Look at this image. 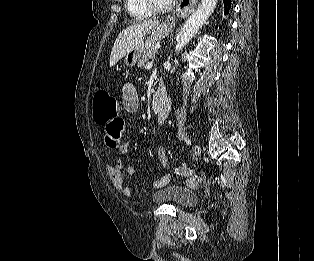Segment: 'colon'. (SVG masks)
Here are the masks:
<instances>
[{"instance_id": "obj_1", "label": "colon", "mask_w": 314, "mask_h": 261, "mask_svg": "<svg viewBox=\"0 0 314 261\" xmlns=\"http://www.w3.org/2000/svg\"><path fill=\"white\" fill-rule=\"evenodd\" d=\"M94 120L97 124L104 125V120H112V116H120L117 98L106 90H98L94 94ZM178 174L190 176L191 171L180 166L176 169Z\"/></svg>"}]
</instances>
